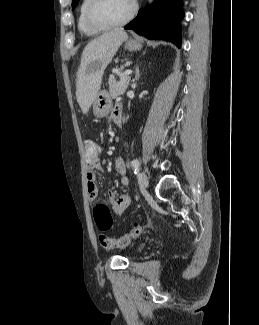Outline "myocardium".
<instances>
[{
	"mask_svg": "<svg viewBox=\"0 0 259 325\" xmlns=\"http://www.w3.org/2000/svg\"><path fill=\"white\" fill-rule=\"evenodd\" d=\"M103 2L104 0H89V4L85 11V18L87 24L97 30H108L122 26L128 23L134 17L137 11V4L132 1L131 10L124 18L117 21H108L98 15V11L102 6Z\"/></svg>",
	"mask_w": 259,
	"mask_h": 325,
	"instance_id": "myocardium-1",
	"label": "myocardium"
}]
</instances>
